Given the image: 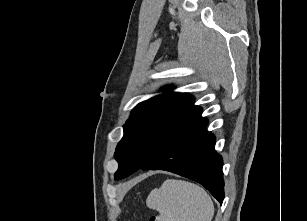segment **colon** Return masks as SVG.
<instances>
[{"label": "colon", "mask_w": 307, "mask_h": 221, "mask_svg": "<svg viewBox=\"0 0 307 221\" xmlns=\"http://www.w3.org/2000/svg\"><path fill=\"white\" fill-rule=\"evenodd\" d=\"M149 221H163V219H162L161 216L152 215V216L149 218Z\"/></svg>", "instance_id": "colon-1"}]
</instances>
